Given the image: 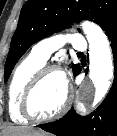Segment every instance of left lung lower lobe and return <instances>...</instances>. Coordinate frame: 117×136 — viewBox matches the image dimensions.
I'll return each mask as SVG.
<instances>
[{
	"instance_id": "1",
	"label": "left lung lower lobe",
	"mask_w": 117,
	"mask_h": 136,
	"mask_svg": "<svg viewBox=\"0 0 117 136\" xmlns=\"http://www.w3.org/2000/svg\"><path fill=\"white\" fill-rule=\"evenodd\" d=\"M114 54V82L102 104L81 117L73 108L62 118L39 127L57 136H117V16L105 28ZM81 68L74 75L77 76Z\"/></svg>"
}]
</instances>
